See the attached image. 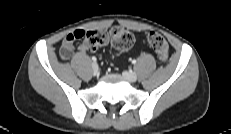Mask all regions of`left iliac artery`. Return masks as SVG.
Returning <instances> with one entry per match:
<instances>
[{
	"instance_id": "obj_1",
	"label": "left iliac artery",
	"mask_w": 231,
	"mask_h": 134,
	"mask_svg": "<svg viewBox=\"0 0 231 134\" xmlns=\"http://www.w3.org/2000/svg\"><path fill=\"white\" fill-rule=\"evenodd\" d=\"M132 63H133V64H136V60L134 59V60L132 61Z\"/></svg>"
}]
</instances>
